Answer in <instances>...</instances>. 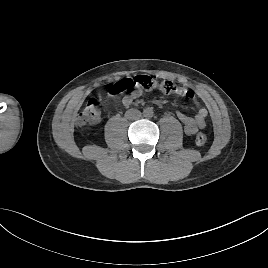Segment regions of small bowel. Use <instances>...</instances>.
Wrapping results in <instances>:
<instances>
[{
  "mask_svg": "<svg viewBox=\"0 0 268 268\" xmlns=\"http://www.w3.org/2000/svg\"><path fill=\"white\" fill-rule=\"evenodd\" d=\"M143 90L139 88L132 89V91L126 94L122 98V104L125 107L130 106L136 99L142 96ZM198 104V103H196ZM208 111L206 108H199L197 114L194 117H189L183 113H177V117L184 126V132L187 135H194L199 130L205 128L206 118Z\"/></svg>",
  "mask_w": 268,
  "mask_h": 268,
  "instance_id": "c3829d8e",
  "label": "small bowel"
}]
</instances>
